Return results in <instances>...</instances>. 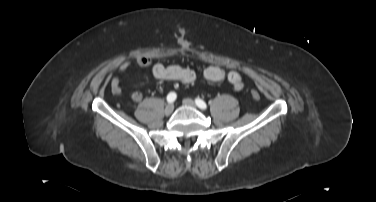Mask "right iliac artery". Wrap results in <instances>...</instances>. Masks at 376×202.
Returning a JSON list of instances; mask_svg holds the SVG:
<instances>
[{"mask_svg":"<svg viewBox=\"0 0 376 202\" xmlns=\"http://www.w3.org/2000/svg\"><path fill=\"white\" fill-rule=\"evenodd\" d=\"M177 98V94L175 92H170L168 95H167V102L168 103H173Z\"/></svg>","mask_w":376,"mask_h":202,"instance_id":"obj_1","label":"right iliac artery"}]
</instances>
